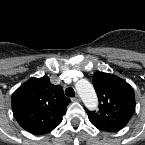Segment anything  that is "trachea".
<instances>
[{
  "label": "trachea",
  "mask_w": 145,
  "mask_h": 145,
  "mask_svg": "<svg viewBox=\"0 0 145 145\" xmlns=\"http://www.w3.org/2000/svg\"><path fill=\"white\" fill-rule=\"evenodd\" d=\"M65 94L67 97H74L75 96V92H74L73 88H67L65 90Z\"/></svg>",
  "instance_id": "3493384b"
}]
</instances>
